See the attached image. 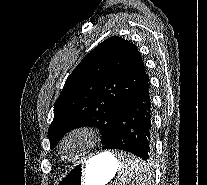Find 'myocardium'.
<instances>
[{
  "instance_id": "myocardium-1",
  "label": "myocardium",
  "mask_w": 207,
  "mask_h": 185,
  "mask_svg": "<svg viewBox=\"0 0 207 185\" xmlns=\"http://www.w3.org/2000/svg\"><path fill=\"white\" fill-rule=\"evenodd\" d=\"M75 135H83L87 139L88 145L80 154H78L72 159H67L63 155V145L68 139L72 138ZM100 138L101 136L96 128L89 125L76 126L71 130H69L60 140L58 144V154L61 157V159L65 162L68 163L79 162L94 154L96 146L100 141Z\"/></svg>"
}]
</instances>
